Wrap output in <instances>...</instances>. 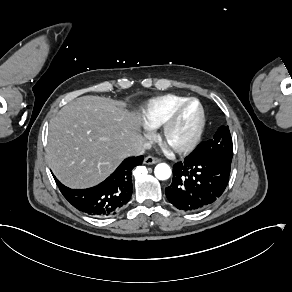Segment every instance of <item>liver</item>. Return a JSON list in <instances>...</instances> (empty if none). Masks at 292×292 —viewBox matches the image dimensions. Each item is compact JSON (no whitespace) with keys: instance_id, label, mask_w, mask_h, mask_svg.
Listing matches in <instances>:
<instances>
[{"instance_id":"obj_1","label":"liver","mask_w":292,"mask_h":292,"mask_svg":"<svg viewBox=\"0 0 292 292\" xmlns=\"http://www.w3.org/2000/svg\"><path fill=\"white\" fill-rule=\"evenodd\" d=\"M144 142L140 115L100 96H83L50 120L46 160L67 187L104 181Z\"/></svg>"}]
</instances>
